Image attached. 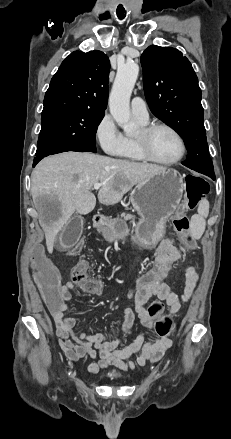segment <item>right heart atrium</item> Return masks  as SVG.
Masks as SVG:
<instances>
[{
    "label": "right heart atrium",
    "instance_id": "obj_1",
    "mask_svg": "<svg viewBox=\"0 0 231 439\" xmlns=\"http://www.w3.org/2000/svg\"><path fill=\"white\" fill-rule=\"evenodd\" d=\"M95 137L101 149L110 156H117L124 147V135L110 114H104L95 128Z\"/></svg>",
    "mask_w": 231,
    "mask_h": 439
}]
</instances>
